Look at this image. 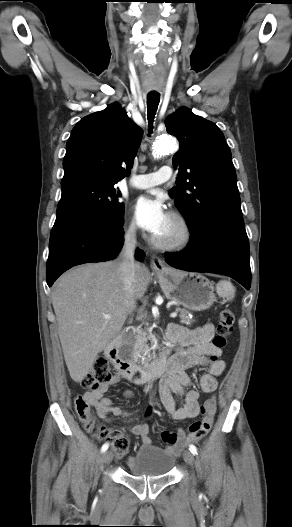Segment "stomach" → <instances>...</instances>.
Segmentation results:
<instances>
[{
	"label": "stomach",
	"mask_w": 292,
	"mask_h": 527,
	"mask_svg": "<svg viewBox=\"0 0 292 527\" xmlns=\"http://www.w3.org/2000/svg\"><path fill=\"white\" fill-rule=\"evenodd\" d=\"M156 275L165 296L189 310L203 311L216 301L213 283L201 274L165 268Z\"/></svg>",
	"instance_id": "0dacf381"
}]
</instances>
